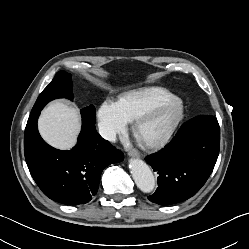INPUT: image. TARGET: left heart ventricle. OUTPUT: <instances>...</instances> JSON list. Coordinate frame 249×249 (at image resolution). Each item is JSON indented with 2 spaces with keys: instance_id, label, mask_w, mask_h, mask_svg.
I'll return each mask as SVG.
<instances>
[{
  "instance_id": "left-heart-ventricle-1",
  "label": "left heart ventricle",
  "mask_w": 249,
  "mask_h": 249,
  "mask_svg": "<svg viewBox=\"0 0 249 249\" xmlns=\"http://www.w3.org/2000/svg\"><path fill=\"white\" fill-rule=\"evenodd\" d=\"M172 113L167 109L158 111L154 116L148 119L139 129L141 140H148L162 132L169 124Z\"/></svg>"
}]
</instances>
